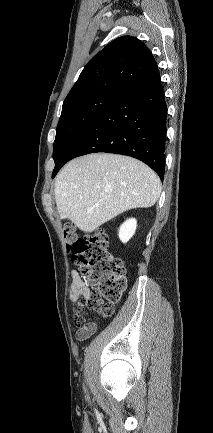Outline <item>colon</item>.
I'll return each instance as SVG.
<instances>
[{
    "mask_svg": "<svg viewBox=\"0 0 213 433\" xmlns=\"http://www.w3.org/2000/svg\"><path fill=\"white\" fill-rule=\"evenodd\" d=\"M64 238L91 292V298L81 302L74 317L77 327L84 329L94 322L85 316L86 311L92 312L95 320L114 312L126 288L125 267L122 260L111 253L108 236L102 229L78 237L69 224L64 229Z\"/></svg>",
    "mask_w": 213,
    "mask_h": 433,
    "instance_id": "obj_1",
    "label": "colon"
}]
</instances>
